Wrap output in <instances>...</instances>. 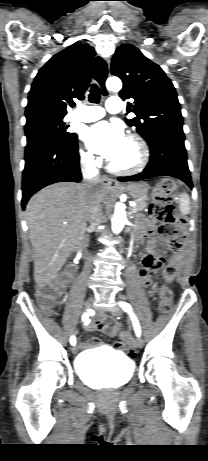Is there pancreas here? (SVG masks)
<instances>
[{
	"instance_id": "cf45deb5",
	"label": "pancreas",
	"mask_w": 208,
	"mask_h": 461,
	"mask_svg": "<svg viewBox=\"0 0 208 461\" xmlns=\"http://www.w3.org/2000/svg\"><path fill=\"white\" fill-rule=\"evenodd\" d=\"M147 200H148L147 196L139 198V199H136V201H135L136 202V207L134 208V212L143 210L148 204Z\"/></svg>"
}]
</instances>
